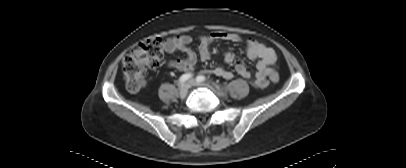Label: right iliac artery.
I'll list each match as a JSON object with an SVG mask.
<instances>
[{"label": "right iliac artery", "instance_id": "82829eb1", "mask_svg": "<svg viewBox=\"0 0 406 168\" xmlns=\"http://www.w3.org/2000/svg\"><path fill=\"white\" fill-rule=\"evenodd\" d=\"M191 77H192V74H191V73L183 74V75L179 78L180 84L183 85V83L186 82L187 80H189Z\"/></svg>", "mask_w": 406, "mask_h": 168}]
</instances>
